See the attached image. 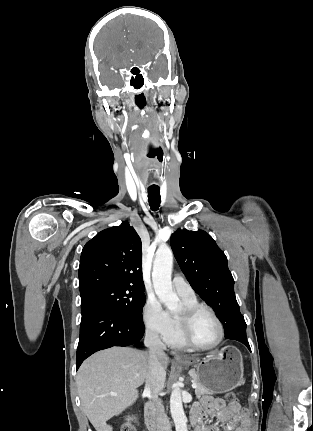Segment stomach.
<instances>
[{
	"mask_svg": "<svg viewBox=\"0 0 313 431\" xmlns=\"http://www.w3.org/2000/svg\"><path fill=\"white\" fill-rule=\"evenodd\" d=\"M184 366L193 365L199 382L211 393H226L243 383V360L240 351L226 346L206 357H190L182 361Z\"/></svg>",
	"mask_w": 313,
	"mask_h": 431,
	"instance_id": "obj_1",
	"label": "stomach"
}]
</instances>
